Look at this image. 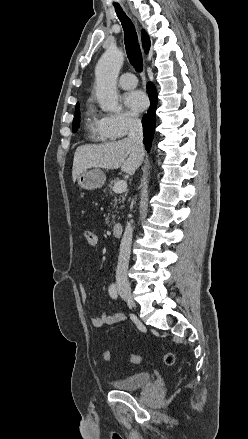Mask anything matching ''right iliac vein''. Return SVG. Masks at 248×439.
I'll return each mask as SVG.
<instances>
[{
  "label": "right iliac vein",
  "mask_w": 248,
  "mask_h": 439,
  "mask_svg": "<svg viewBox=\"0 0 248 439\" xmlns=\"http://www.w3.org/2000/svg\"><path fill=\"white\" fill-rule=\"evenodd\" d=\"M121 295L122 297L129 303L130 306L133 308H136V304L132 298L131 292L128 288H121Z\"/></svg>",
  "instance_id": "1"
}]
</instances>
